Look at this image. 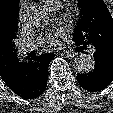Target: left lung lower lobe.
<instances>
[{
  "instance_id": "left-lung-lower-lobe-1",
  "label": "left lung lower lobe",
  "mask_w": 113,
  "mask_h": 113,
  "mask_svg": "<svg viewBox=\"0 0 113 113\" xmlns=\"http://www.w3.org/2000/svg\"><path fill=\"white\" fill-rule=\"evenodd\" d=\"M76 45L79 51L91 47L95 60V67L91 72L77 75L79 85L90 92L103 90L113 80V45L105 42H94L88 45L87 42L79 41H76Z\"/></svg>"
}]
</instances>
